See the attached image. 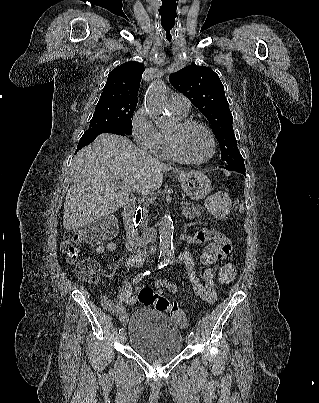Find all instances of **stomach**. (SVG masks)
Returning <instances> with one entry per match:
<instances>
[{"label": "stomach", "instance_id": "0dacf381", "mask_svg": "<svg viewBox=\"0 0 319 403\" xmlns=\"http://www.w3.org/2000/svg\"><path fill=\"white\" fill-rule=\"evenodd\" d=\"M177 177L182 190L192 200H201L212 190L209 178L201 172H180Z\"/></svg>", "mask_w": 319, "mask_h": 403}]
</instances>
